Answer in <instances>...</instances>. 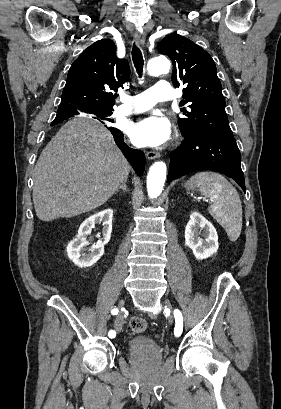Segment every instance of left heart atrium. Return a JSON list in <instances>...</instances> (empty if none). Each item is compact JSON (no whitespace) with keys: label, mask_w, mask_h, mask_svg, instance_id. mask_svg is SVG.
Returning a JSON list of instances; mask_svg holds the SVG:
<instances>
[{"label":"left heart atrium","mask_w":281,"mask_h":409,"mask_svg":"<svg viewBox=\"0 0 281 409\" xmlns=\"http://www.w3.org/2000/svg\"><path fill=\"white\" fill-rule=\"evenodd\" d=\"M170 136L168 120L158 115L143 117L131 127V138L140 147H160L168 142Z\"/></svg>","instance_id":"obj_1"}]
</instances>
